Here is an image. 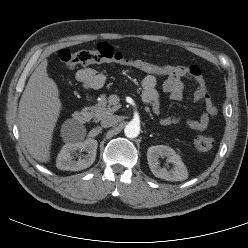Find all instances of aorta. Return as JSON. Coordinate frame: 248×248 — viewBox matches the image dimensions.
I'll return each mask as SVG.
<instances>
[{
	"label": "aorta",
	"mask_w": 248,
	"mask_h": 248,
	"mask_svg": "<svg viewBox=\"0 0 248 248\" xmlns=\"http://www.w3.org/2000/svg\"><path fill=\"white\" fill-rule=\"evenodd\" d=\"M125 136L128 138H135L140 134V126L136 122H129L124 129Z\"/></svg>",
	"instance_id": "1"
}]
</instances>
